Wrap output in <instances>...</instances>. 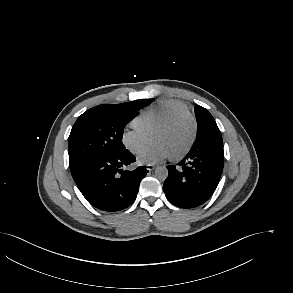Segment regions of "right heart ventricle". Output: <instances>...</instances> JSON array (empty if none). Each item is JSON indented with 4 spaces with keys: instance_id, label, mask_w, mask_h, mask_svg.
<instances>
[{
    "instance_id": "e07e8e85",
    "label": "right heart ventricle",
    "mask_w": 293,
    "mask_h": 293,
    "mask_svg": "<svg viewBox=\"0 0 293 293\" xmlns=\"http://www.w3.org/2000/svg\"><path fill=\"white\" fill-rule=\"evenodd\" d=\"M187 111V105L181 101L173 99L160 100L145 108L134 119L133 126L149 136L158 126L173 115Z\"/></svg>"
}]
</instances>
